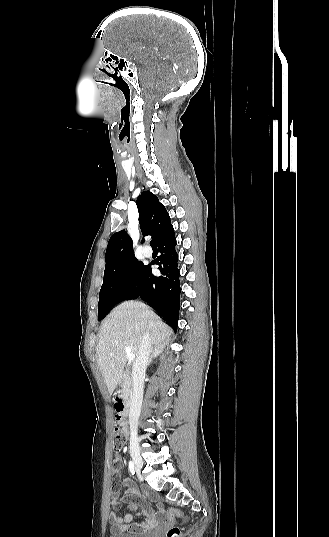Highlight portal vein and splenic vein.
<instances>
[{
  "mask_svg": "<svg viewBox=\"0 0 329 537\" xmlns=\"http://www.w3.org/2000/svg\"><path fill=\"white\" fill-rule=\"evenodd\" d=\"M124 350L127 355L128 361H133L135 359V354L132 353V348L130 346H125Z\"/></svg>",
  "mask_w": 329,
  "mask_h": 537,
  "instance_id": "obj_1",
  "label": "portal vein and splenic vein"
}]
</instances>
